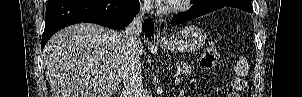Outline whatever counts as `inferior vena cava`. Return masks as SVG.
Listing matches in <instances>:
<instances>
[{
  "mask_svg": "<svg viewBox=\"0 0 302 97\" xmlns=\"http://www.w3.org/2000/svg\"><path fill=\"white\" fill-rule=\"evenodd\" d=\"M151 1L142 3L140 13L121 33L122 40L126 45V64L123 69V95L125 97H145L142 84L140 47L142 20L150 12Z\"/></svg>",
  "mask_w": 302,
  "mask_h": 97,
  "instance_id": "602c4592",
  "label": "inferior vena cava"
}]
</instances>
